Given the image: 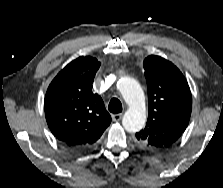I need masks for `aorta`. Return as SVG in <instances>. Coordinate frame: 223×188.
I'll return each mask as SVG.
<instances>
[{
  "instance_id": "obj_1",
  "label": "aorta",
  "mask_w": 223,
  "mask_h": 188,
  "mask_svg": "<svg viewBox=\"0 0 223 188\" xmlns=\"http://www.w3.org/2000/svg\"><path fill=\"white\" fill-rule=\"evenodd\" d=\"M117 88L129 108L125 112L122 125L128 132L140 131L146 122V106L144 92L139 83L130 77H122Z\"/></svg>"
}]
</instances>
